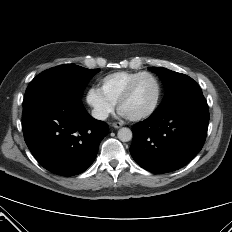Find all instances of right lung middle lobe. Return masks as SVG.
I'll return each instance as SVG.
<instances>
[{"label":"right lung middle lobe","mask_w":232,"mask_h":232,"mask_svg":"<svg viewBox=\"0 0 232 232\" xmlns=\"http://www.w3.org/2000/svg\"><path fill=\"white\" fill-rule=\"evenodd\" d=\"M99 69H85L77 65H61L36 76L26 89L23 104L44 96L80 98L90 79Z\"/></svg>","instance_id":"right-lung-middle-lobe-1"}]
</instances>
